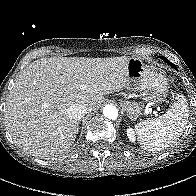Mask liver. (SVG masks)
Segmentation results:
<instances>
[{
	"instance_id": "liver-1",
	"label": "liver",
	"mask_w": 196,
	"mask_h": 196,
	"mask_svg": "<svg viewBox=\"0 0 196 196\" xmlns=\"http://www.w3.org/2000/svg\"><path fill=\"white\" fill-rule=\"evenodd\" d=\"M127 57H51L32 62L9 93L4 119L7 130L23 151L39 157L68 150L78 122L68 115L75 103L88 111L104 95L128 86Z\"/></svg>"
}]
</instances>
